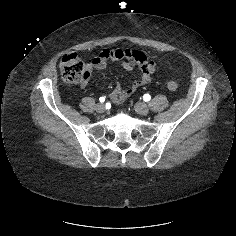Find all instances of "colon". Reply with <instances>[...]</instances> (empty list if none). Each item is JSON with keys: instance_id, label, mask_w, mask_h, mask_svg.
Here are the masks:
<instances>
[{"instance_id": "5ec220e1", "label": "colon", "mask_w": 236, "mask_h": 236, "mask_svg": "<svg viewBox=\"0 0 236 236\" xmlns=\"http://www.w3.org/2000/svg\"><path fill=\"white\" fill-rule=\"evenodd\" d=\"M60 74L64 81L73 84H82L90 76L87 65L78 57L76 53H68L61 59L59 63ZM169 90H176L178 84L174 80L167 83Z\"/></svg>"}]
</instances>
